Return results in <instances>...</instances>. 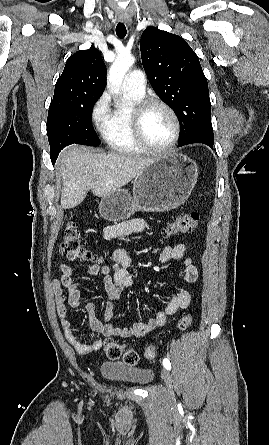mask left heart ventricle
I'll use <instances>...</instances> for the list:
<instances>
[{
  "label": "left heart ventricle",
  "instance_id": "left-heart-ventricle-1",
  "mask_svg": "<svg viewBox=\"0 0 269 445\" xmlns=\"http://www.w3.org/2000/svg\"><path fill=\"white\" fill-rule=\"evenodd\" d=\"M142 127L146 141L155 148L164 147L174 133L172 118L165 109L158 106L147 111Z\"/></svg>",
  "mask_w": 269,
  "mask_h": 445
}]
</instances>
